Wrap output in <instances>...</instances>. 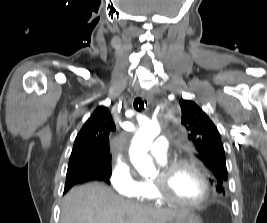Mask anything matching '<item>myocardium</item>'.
I'll return each instance as SVG.
<instances>
[{"label": "myocardium", "mask_w": 267, "mask_h": 223, "mask_svg": "<svg viewBox=\"0 0 267 223\" xmlns=\"http://www.w3.org/2000/svg\"><path fill=\"white\" fill-rule=\"evenodd\" d=\"M187 166L194 169L201 177L205 192L201 199L197 201H186L173 196L168 189V181L171 175L180 167ZM157 198L161 201L177 204L183 207L196 208L206 203L210 197V182L205 170L195 161L190 159H178L166 162L161 165L157 176L151 180Z\"/></svg>", "instance_id": "f54148a6"}]
</instances>
